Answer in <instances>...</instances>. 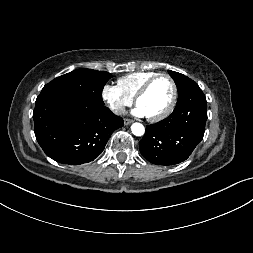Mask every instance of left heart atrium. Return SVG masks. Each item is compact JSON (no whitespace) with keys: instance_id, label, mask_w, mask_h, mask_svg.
<instances>
[{"instance_id":"left-heart-atrium-1","label":"left heart atrium","mask_w":253,"mask_h":253,"mask_svg":"<svg viewBox=\"0 0 253 253\" xmlns=\"http://www.w3.org/2000/svg\"><path fill=\"white\" fill-rule=\"evenodd\" d=\"M132 113L135 115V116H138V117H145L146 114L144 113V111L139 107L137 106L133 111Z\"/></svg>"}]
</instances>
